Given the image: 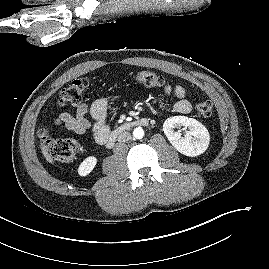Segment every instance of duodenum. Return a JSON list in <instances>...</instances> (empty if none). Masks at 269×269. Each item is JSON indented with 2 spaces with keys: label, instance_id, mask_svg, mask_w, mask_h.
I'll use <instances>...</instances> for the list:
<instances>
[{
  "label": "duodenum",
  "instance_id": "duodenum-1",
  "mask_svg": "<svg viewBox=\"0 0 269 269\" xmlns=\"http://www.w3.org/2000/svg\"><path fill=\"white\" fill-rule=\"evenodd\" d=\"M148 124H149V120L147 118H138L129 122H125L119 125L114 131L108 134L107 139H106V145L108 147H112L117 141L120 134L123 133L124 131L133 127L147 126Z\"/></svg>",
  "mask_w": 269,
  "mask_h": 269
}]
</instances>
